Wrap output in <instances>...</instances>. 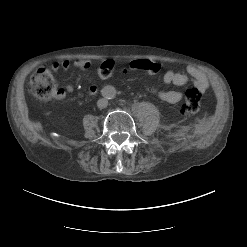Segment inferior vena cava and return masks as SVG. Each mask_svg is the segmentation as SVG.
I'll return each mask as SVG.
<instances>
[{
	"label": "inferior vena cava",
	"mask_w": 247,
	"mask_h": 247,
	"mask_svg": "<svg viewBox=\"0 0 247 247\" xmlns=\"http://www.w3.org/2000/svg\"><path fill=\"white\" fill-rule=\"evenodd\" d=\"M107 105H108V100H107V99L102 98V99H99V100L97 101V106H98V108H100V109L106 108Z\"/></svg>",
	"instance_id": "602c4592"
}]
</instances>
